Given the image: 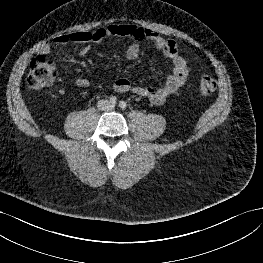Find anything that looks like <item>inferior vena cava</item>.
Instances as JSON below:
<instances>
[{
    "label": "inferior vena cava",
    "mask_w": 263,
    "mask_h": 263,
    "mask_svg": "<svg viewBox=\"0 0 263 263\" xmlns=\"http://www.w3.org/2000/svg\"><path fill=\"white\" fill-rule=\"evenodd\" d=\"M97 106L100 110H109L112 107L108 100H99Z\"/></svg>",
    "instance_id": "602c4592"
}]
</instances>
